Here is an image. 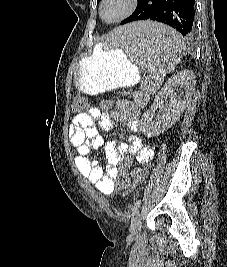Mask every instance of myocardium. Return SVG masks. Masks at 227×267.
Masks as SVG:
<instances>
[{
  "mask_svg": "<svg viewBox=\"0 0 227 267\" xmlns=\"http://www.w3.org/2000/svg\"><path fill=\"white\" fill-rule=\"evenodd\" d=\"M110 0H101L100 5H99V17L101 18L102 21L108 24H114L121 22L131 16L135 10L138 7L139 0H126V7L125 10L116 18L114 19H106L104 15V9L105 5L109 2Z\"/></svg>",
  "mask_w": 227,
  "mask_h": 267,
  "instance_id": "obj_1",
  "label": "myocardium"
}]
</instances>
